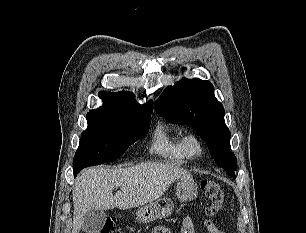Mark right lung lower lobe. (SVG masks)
Wrapping results in <instances>:
<instances>
[{"mask_svg":"<svg viewBox=\"0 0 306 233\" xmlns=\"http://www.w3.org/2000/svg\"><path fill=\"white\" fill-rule=\"evenodd\" d=\"M78 174V173H77ZM77 174H74V177H76L77 176Z\"/></svg>","mask_w":306,"mask_h":233,"instance_id":"98d812e1","label":"right lung lower lobe"}]
</instances>
